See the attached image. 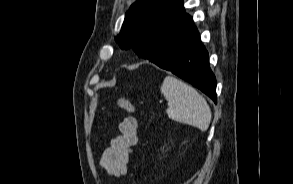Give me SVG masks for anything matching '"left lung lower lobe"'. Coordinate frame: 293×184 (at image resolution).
I'll list each match as a JSON object with an SVG mask.
<instances>
[{"label":"left lung lower lobe","instance_id":"1","mask_svg":"<svg viewBox=\"0 0 293 184\" xmlns=\"http://www.w3.org/2000/svg\"><path fill=\"white\" fill-rule=\"evenodd\" d=\"M165 30L146 47L152 53L148 60L188 81L216 103V79L209 66L208 52L183 4Z\"/></svg>","mask_w":293,"mask_h":184}]
</instances>
